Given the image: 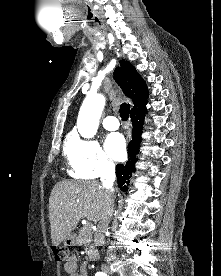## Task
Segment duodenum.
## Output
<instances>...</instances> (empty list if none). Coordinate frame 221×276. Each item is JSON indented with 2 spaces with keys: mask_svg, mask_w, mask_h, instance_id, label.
<instances>
[{
  "mask_svg": "<svg viewBox=\"0 0 221 276\" xmlns=\"http://www.w3.org/2000/svg\"><path fill=\"white\" fill-rule=\"evenodd\" d=\"M88 256L91 260H95L97 258V252L94 249L88 250Z\"/></svg>",
  "mask_w": 221,
  "mask_h": 276,
  "instance_id": "obj_1",
  "label": "duodenum"
}]
</instances>
